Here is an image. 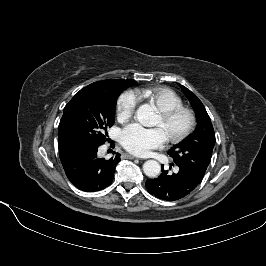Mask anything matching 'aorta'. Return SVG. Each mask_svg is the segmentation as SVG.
<instances>
[{"instance_id": "obj_1", "label": "aorta", "mask_w": 266, "mask_h": 266, "mask_svg": "<svg viewBox=\"0 0 266 266\" xmlns=\"http://www.w3.org/2000/svg\"><path fill=\"white\" fill-rule=\"evenodd\" d=\"M136 117L142 125H152L155 118L154 108L149 104L141 105L136 111ZM143 171L148 177H157L161 172V166L155 160H148L143 165Z\"/></svg>"}]
</instances>
